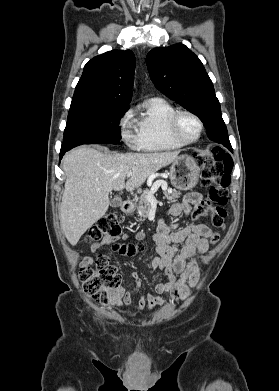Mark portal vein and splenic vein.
<instances>
[{
	"label": "portal vein and splenic vein",
	"instance_id": "portal-vein-and-splenic-vein-1",
	"mask_svg": "<svg viewBox=\"0 0 279 391\" xmlns=\"http://www.w3.org/2000/svg\"><path fill=\"white\" fill-rule=\"evenodd\" d=\"M132 175L131 172H129L127 174V177H130ZM163 184V181H157L153 184V187L151 189V191L149 193H147L145 195V198L146 200L149 202V203H157V200L156 198L154 197V193L158 190V188L160 187V185ZM163 189L165 190L166 187L164 186Z\"/></svg>",
	"mask_w": 279,
	"mask_h": 391
}]
</instances>
